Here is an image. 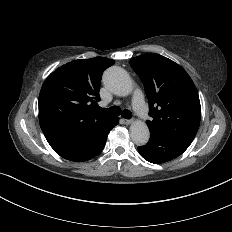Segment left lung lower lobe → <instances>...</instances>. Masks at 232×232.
I'll use <instances>...</instances> for the list:
<instances>
[{
	"label": "left lung lower lobe",
	"mask_w": 232,
	"mask_h": 232,
	"mask_svg": "<svg viewBox=\"0 0 232 232\" xmlns=\"http://www.w3.org/2000/svg\"><path fill=\"white\" fill-rule=\"evenodd\" d=\"M188 147L166 137L150 132L149 142L138 147L140 155L155 164L170 161L181 155Z\"/></svg>",
	"instance_id": "obj_1"
}]
</instances>
